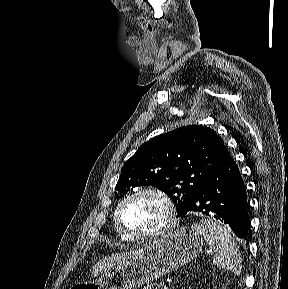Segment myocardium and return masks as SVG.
I'll return each instance as SVG.
<instances>
[{"label":"myocardium","instance_id":"obj_1","mask_svg":"<svg viewBox=\"0 0 288 289\" xmlns=\"http://www.w3.org/2000/svg\"><path fill=\"white\" fill-rule=\"evenodd\" d=\"M153 195L155 197H158L165 205L166 207V222L165 224L160 227L159 229L152 231V232H147V233H138L130 230L129 228L126 227L123 221V213L126 209V207L136 198L142 195ZM116 220H117V225L120 228V230L129 238L133 240H152V239H157L161 238L170 232H172L176 226H177V220H178V215H177V207L174 201L162 190L151 188V187H144L141 188L130 195H128L120 204L117 214H116Z\"/></svg>","mask_w":288,"mask_h":289}]
</instances>
